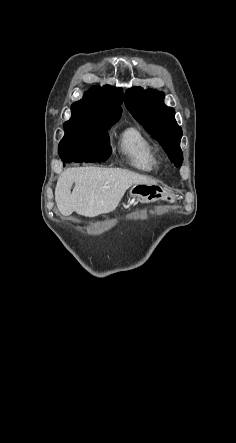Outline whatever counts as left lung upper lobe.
I'll use <instances>...</instances> for the list:
<instances>
[{
    "label": "left lung upper lobe",
    "mask_w": 236,
    "mask_h": 443,
    "mask_svg": "<svg viewBox=\"0 0 236 443\" xmlns=\"http://www.w3.org/2000/svg\"><path fill=\"white\" fill-rule=\"evenodd\" d=\"M125 105L145 130L159 141L174 165L180 167L183 162L182 129L175 121V110L164 104V93L133 87L125 93Z\"/></svg>",
    "instance_id": "5c2ea615"
}]
</instances>
